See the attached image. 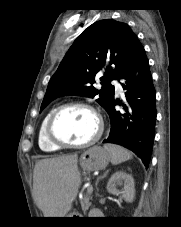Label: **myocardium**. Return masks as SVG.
<instances>
[{"instance_id": "1", "label": "myocardium", "mask_w": 181, "mask_h": 227, "mask_svg": "<svg viewBox=\"0 0 181 227\" xmlns=\"http://www.w3.org/2000/svg\"><path fill=\"white\" fill-rule=\"evenodd\" d=\"M72 107H79V108L88 110L89 112L92 113V115L94 116L96 123H97V130H96L94 136L92 138H90L89 140L82 142V143H69V142L64 141V140L60 139L59 137H57L54 132V124H55V120L58 117V115L63 110H65L67 108H72ZM103 130H104V123H103V119H102L101 115L99 114V112L90 104L81 102V101L68 102V103L62 104V105L58 106L57 108H55L53 110V112L51 113V115L48 119L47 125H46V135H47L48 139L55 146H58L60 148L80 149V148L90 147V146L94 145L101 138V136L103 134Z\"/></svg>"}]
</instances>
